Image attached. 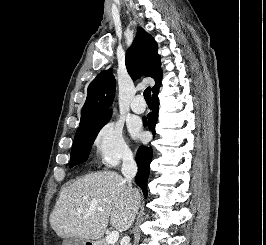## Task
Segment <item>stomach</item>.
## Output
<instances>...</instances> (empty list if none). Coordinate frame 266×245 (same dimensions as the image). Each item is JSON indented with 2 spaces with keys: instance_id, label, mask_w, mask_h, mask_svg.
<instances>
[{
  "instance_id": "obj_1",
  "label": "stomach",
  "mask_w": 266,
  "mask_h": 245,
  "mask_svg": "<svg viewBox=\"0 0 266 245\" xmlns=\"http://www.w3.org/2000/svg\"><path fill=\"white\" fill-rule=\"evenodd\" d=\"M76 245H98L96 241H81V239H77Z\"/></svg>"
}]
</instances>
